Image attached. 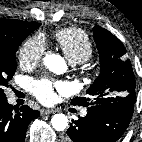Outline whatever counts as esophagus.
Wrapping results in <instances>:
<instances>
[{
	"instance_id": "esophagus-1",
	"label": "esophagus",
	"mask_w": 142,
	"mask_h": 142,
	"mask_svg": "<svg viewBox=\"0 0 142 142\" xmlns=\"http://www.w3.org/2000/svg\"><path fill=\"white\" fill-rule=\"evenodd\" d=\"M52 112H53V110H49V109H42V110L40 111V113H41L42 116L49 115V114H51Z\"/></svg>"
}]
</instances>
